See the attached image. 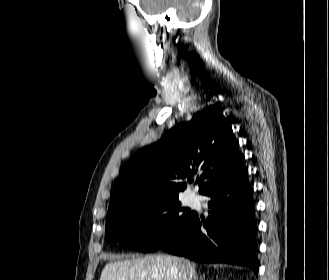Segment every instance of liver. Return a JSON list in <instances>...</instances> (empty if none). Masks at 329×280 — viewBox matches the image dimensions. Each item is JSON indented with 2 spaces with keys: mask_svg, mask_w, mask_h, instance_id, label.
Returning a JSON list of instances; mask_svg holds the SVG:
<instances>
[{
  "mask_svg": "<svg viewBox=\"0 0 329 280\" xmlns=\"http://www.w3.org/2000/svg\"><path fill=\"white\" fill-rule=\"evenodd\" d=\"M106 264L99 280H192L196 265L188 259L169 255L133 257Z\"/></svg>",
  "mask_w": 329,
  "mask_h": 280,
  "instance_id": "liver-1",
  "label": "liver"
}]
</instances>
